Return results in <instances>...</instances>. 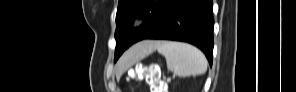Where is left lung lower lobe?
<instances>
[{"label": "left lung lower lobe", "instance_id": "left-lung-lower-lobe-1", "mask_svg": "<svg viewBox=\"0 0 296 92\" xmlns=\"http://www.w3.org/2000/svg\"><path fill=\"white\" fill-rule=\"evenodd\" d=\"M212 5V0H170L161 24L145 39L188 42L201 49L212 65Z\"/></svg>", "mask_w": 296, "mask_h": 92}]
</instances>
